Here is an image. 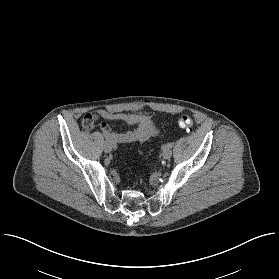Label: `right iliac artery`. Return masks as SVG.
<instances>
[{"label": "right iliac artery", "mask_w": 279, "mask_h": 279, "mask_svg": "<svg viewBox=\"0 0 279 279\" xmlns=\"http://www.w3.org/2000/svg\"><path fill=\"white\" fill-rule=\"evenodd\" d=\"M104 137H105L106 142H111V141L109 140L108 136L104 135ZM112 146H113L114 149L117 148L116 145H112Z\"/></svg>", "instance_id": "right-iliac-artery-1"}]
</instances>
